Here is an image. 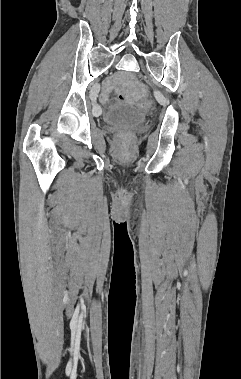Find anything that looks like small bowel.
<instances>
[{"label": "small bowel", "mask_w": 241, "mask_h": 379, "mask_svg": "<svg viewBox=\"0 0 241 379\" xmlns=\"http://www.w3.org/2000/svg\"><path fill=\"white\" fill-rule=\"evenodd\" d=\"M114 88V83L112 81H107L102 90H101V93H100V96H99V99H100V102L105 104L108 102V99H109V95L111 93V91L113 90ZM128 101L130 102H133L136 100V97L133 96V95H130V96H126Z\"/></svg>", "instance_id": "small-bowel-1"}]
</instances>
